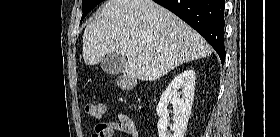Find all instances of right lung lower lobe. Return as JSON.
I'll return each instance as SVG.
<instances>
[{"instance_id": "98d812e1", "label": "right lung lower lobe", "mask_w": 280, "mask_h": 137, "mask_svg": "<svg viewBox=\"0 0 280 137\" xmlns=\"http://www.w3.org/2000/svg\"><path fill=\"white\" fill-rule=\"evenodd\" d=\"M201 34L225 61V0H154Z\"/></svg>"}]
</instances>
